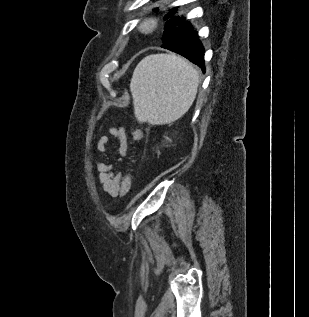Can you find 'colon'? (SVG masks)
Masks as SVG:
<instances>
[{
  "mask_svg": "<svg viewBox=\"0 0 309 317\" xmlns=\"http://www.w3.org/2000/svg\"><path fill=\"white\" fill-rule=\"evenodd\" d=\"M132 138L134 141H139L142 138V131L140 129H136L132 133ZM122 195L126 196L131 189V176L126 174L122 181Z\"/></svg>",
  "mask_w": 309,
  "mask_h": 317,
  "instance_id": "1",
  "label": "colon"
}]
</instances>
